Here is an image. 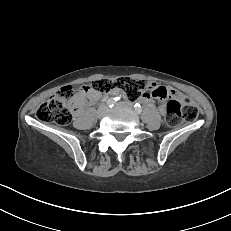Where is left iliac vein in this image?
<instances>
[{
  "instance_id": "obj_1",
  "label": "left iliac vein",
  "mask_w": 231,
  "mask_h": 231,
  "mask_svg": "<svg viewBox=\"0 0 231 231\" xmlns=\"http://www.w3.org/2000/svg\"><path fill=\"white\" fill-rule=\"evenodd\" d=\"M118 106L126 107L128 109H133V104L129 101L119 103Z\"/></svg>"
}]
</instances>
